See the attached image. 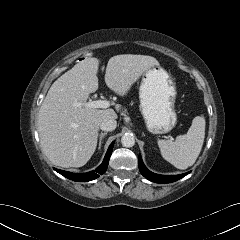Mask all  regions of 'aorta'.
Returning <instances> with one entry per match:
<instances>
[{
  "mask_svg": "<svg viewBox=\"0 0 240 240\" xmlns=\"http://www.w3.org/2000/svg\"><path fill=\"white\" fill-rule=\"evenodd\" d=\"M121 144L124 147L130 148L133 147L135 145V138L133 135L131 134H125L122 136L121 138Z\"/></svg>",
  "mask_w": 240,
  "mask_h": 240,
  "instance_id": "762f6f07",
  "label": "aorta"
}]
</instances>
